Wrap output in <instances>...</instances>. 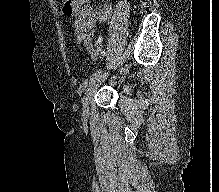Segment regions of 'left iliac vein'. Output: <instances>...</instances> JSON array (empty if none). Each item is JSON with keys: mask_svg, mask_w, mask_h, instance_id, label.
<instances>
[{"mask_svg": "<svg viewBox=\"0 0 219 192\" xmlns=\"http://www.w3.org/2000/svg\"><path fill=\"white\" fill-rule=\"evenodd\" d=\"M107 75H99L94 79V81L91 82L89 89L86 91V93L83 96L82 99V106H83V115L87 116L89 111V105L91 101L93 100L95 91L99 83L103 82L106 79Z\"/></svg>", "mask_w": 219, "mask_h": 192, "instance_id": "4c4485c4", "label": "left iliac vein"}]
</instances>
